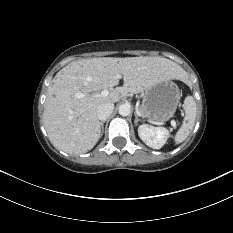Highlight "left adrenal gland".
<instances>
[{
  "instance_id": "a2214340",
  "label": "left adrenal gland",
  "mask_w": 233,
  "mask_h": 233,
  "mask_svg": "<svg viewBox=\"0 0 233 233\" xmlns=\"http://www.w3.org/2000/svg\"><path fill=\"white\" fill-rule=\"evenodd\" d=\"M134 115H135V121H134V123H135V125H137L138 122L141 121V119L138 118V116H137L136 113H134Z\"/></svg>"
}]
</instances>
